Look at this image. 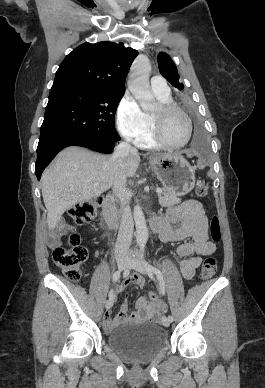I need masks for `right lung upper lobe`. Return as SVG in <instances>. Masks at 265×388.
<instances>
[{"label":"right lung upper lobe","mask_w":265,"mask_h":388,"mask_svg":"<svg viewBox=\"0 0 265 388\" xmlns=\"http://www.w3.org/2000/svg\"><path fill=\"white\" fill-rule=\"evenodd\" d=\"M138 52L123 43H84L66 56L56 72L50 94L63 91L123 90Z\"/></svg>","instance_id":"cb5924a9"}]
</instances>
